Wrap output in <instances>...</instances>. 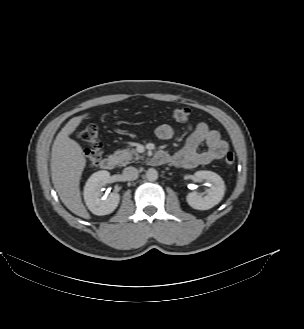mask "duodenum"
Wrapping results in <instances>:
<instances>
[{
    "label": "duodenum",
    "instance_id": "410a0bca",
    "mask_svg": "<svg viewBox=\"0 0 304 329\" xmlns=\"http://www.w3.org/2000/svg\"><path fill=\"white\" fill-rule=\"evenodd\" d=\"M167 157L163 152L157 153L153 158L152 162L155 164L166 162ZM117 160L114 156H106L101 161V168L104 170H113L116 167Z\"/></svg>",
    "mask_w": 304,
    "mask_h": 329
}]
</instances>
